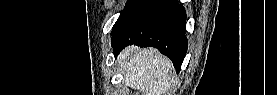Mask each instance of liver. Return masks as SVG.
Masks as SVG:
<instances>
[{"instance_id":"obj_1","label":"liver","mask_w":277,"mask_h":95,"mask_svg":"<svg viewBox=\"0 0 277 95\" xmlns=\"http://www.w3.org/2000/svg\"><path fill=\"white\" fill-rule=\"evenodd\" d=\"M124 72L125 85L141 95H165L171 84V61L155 48H125L117 58Z\"/></svg>"}]
</instances>
